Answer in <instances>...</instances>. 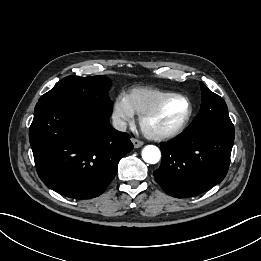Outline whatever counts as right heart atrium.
Returning a JSON list of instances; mask_svg holds the SVG:
<instances>
[{
  "label": "right heart atrium",
  "mask_w": 261,
  "mask_h": 261,
  "mask_svg": "<svg viewBox=\"0 0 261 261\" xmlns=\"http://www.w3.org/2000/svg\"><path fill=\"white\" fill-rule=\"evenodd\" d=\"M112 119L116 128L122 130L134 120L135 113L128 97L118 94L112 104Z\"/></svg>",
  "instance_id": "right-heart-atrium-1"
}]
</instances>
